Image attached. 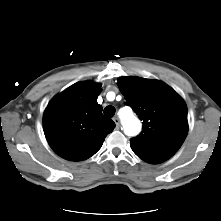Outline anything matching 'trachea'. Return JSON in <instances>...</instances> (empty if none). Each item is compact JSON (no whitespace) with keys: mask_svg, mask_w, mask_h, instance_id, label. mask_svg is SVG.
<instances>
[{"mask_svg":"<svg viewBox=\"0 0 221 221\" xmlns=\"http://www.w3.org/2000/svg\"><path fill=\"white\" fill-rule=\"evenodd\" d=\"M115 107L113 106H106L104 109L105 116L112 118L115 115Z\"/></svg>","mask_w":221,"mask_h":221,"instance_id":"1","label":"trachea"}]
</instances>
